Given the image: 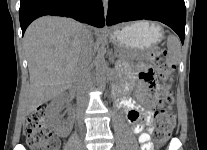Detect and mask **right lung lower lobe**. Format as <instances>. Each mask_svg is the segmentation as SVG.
Segmentation results:
<instances>
[{"label":"right lung lower lobe","instance_id":"1","mask_svg":"<svg viewBox=\"0 0 207 150\" xmlns=\"http://www.w3.org/2000/svg\"><path fill=\"white\" fill-rule=\"evenodd\" d=\"M45 15L71 17L96 27L105 23L102 0H21L22 34L33 20Z\"/></svg>","mask_w":207,"mask_h":150}]
</instances>
